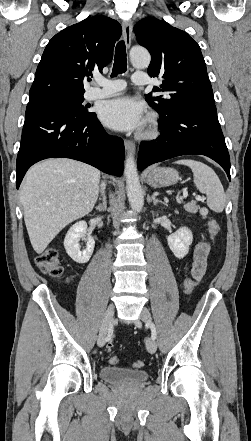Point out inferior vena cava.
I'll return each instance as SVG.
<instances>
[{
    "label": "inferior vena cava",
    "mask_w": 251,
    "mask_h": 441,
    "mask_svg": "<svg viewBox=\"0 0 251 441\" xmlns=\"http://www.w3.org/2000/svg\"><path fill=\"white\" fill-rule=\"evenodd\" d=\"M104 188H105V184H104V183H102V184H101V190H102V194H103V190H104Z\"/></svg>",
    "instance_id": "obj_1"
}]
</instances>
